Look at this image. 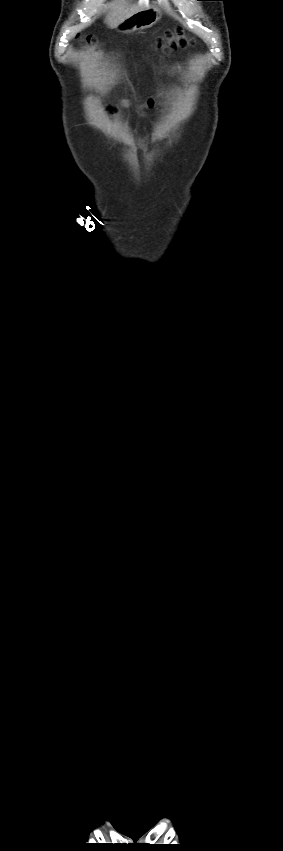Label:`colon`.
<instances>
[{
	"mask_svg": "<svg viewBox=\"0 0 283 851\" xmlns=\"http://www.w3.org/2000/svg\"><path fill=\"white\" fill-rule=\"evenodd\" d=\"M81 41L87 46H92L95 39L92 36H84L81 38ZM191 43L192 41L184 34V31L181 28H177L173 31H167L163 36L158 37L154 48L166 54L172 48L186 47Z\"/></svg>",
	"mask_w": 283,
	"mask_h": 851,
	"instance_id": "obj_1",
	"label": "colon"
}]
</instances>
